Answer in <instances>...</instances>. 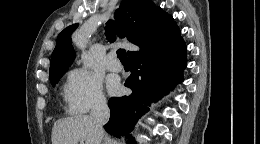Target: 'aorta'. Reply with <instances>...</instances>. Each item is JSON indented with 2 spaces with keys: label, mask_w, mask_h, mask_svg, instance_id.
I'll return each mask as SVG.
<instances>
[{
  "label": "aorta",
  "mask_w": 260,
  "mask_h": 144,
  "mask_svg": "<svg viewBox=\"0 0 260 144\" xmlns=\"http://www.w3.org/2000/svg\"><path fill=\"white\" fill-rule=\"evenodd\" d=\"M86 43L85 42H82L81 43V47L84 49ZM81 61L83 63V66L85 68H91L94 64V60H93V57L87 53L86 51H83L82 55H81Z\"/></svg>",
  "instance_id": "obj_1"
}]
</instances>
